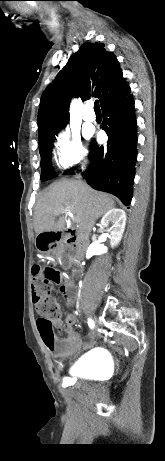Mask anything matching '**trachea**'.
Wrapping results in <instances>:
<instances>
[{"instance_id": "1", "label": "trachea", "mask_w": 165, "mask_h": 461, "mask_svg": "<svg viewBox=\"0 0 165 461\" xmlns=\"http://www.w3.org/2000/svg\"><path fill=\"white\" fill-rule=\"evenodd\" d=\"M94 110L95 112H100V106H99V101L96 100L94 103Z\"/></svg>"}]
</instances>
